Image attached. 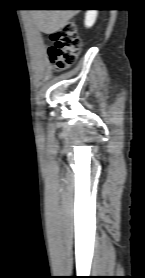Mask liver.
<instances>
[{
	"label": "liver",
	"instance_id": "6515ba94",
	"mask_svg": "<svg viewBox=\"0 0 145 278\" xmlns=\"http://www.w3.org/2000/svg\"><path fill=\"white\" fill-rule=\"evenodd\" d=\"M34 25L43 33L57 32L78 14L79 10H31Z\"/></svg>",
	"mask_w": 145,
	"mask_h": 278
}]
</instances>
